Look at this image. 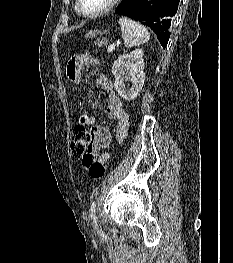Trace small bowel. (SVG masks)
Listing matches in <instances>:
<instances>
[{
    "mask_svg": "<svg viewBox=\"0 0 233 263\" xmlns=\"http://www.w3.org/2000/svg\"><path fill=\"white\" fill-rule=\"evenodd\" d=\"M99 60L91 54L78 55L72 59L67 66V76L75 84L82 81V73L84 70L96 67ZM96 83L107 94L106 113L107 116L115 122V137L119 143H123L128 134L129 118L127 111L123 106V102L114 90L112 80L103 71H99L96 75ZM111 141V134L108 129L96 126L94 138L91 143V155L93 160L106 163L109 159V153L102 150L107 148Z\"/></svg>",
    "mask_w": 233,
    "mask_h": 263,
    "instance_id": "obj_1",
    "label": "small bowel"
}]
</instances>
